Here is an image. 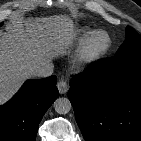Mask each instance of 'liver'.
I'll return each mask as SVG.
<instances>
[{"instance_id":"liver-1","label":"liver","mask_w":141,"mask_h":141,"mask_svg":"<svg viewBox=\"0 0 141 141\" xmlns=\"http://www.w3.org/2000/svg\"><path fill=\"white\" fill-rule=\"evenodd\" d=\"M75 35L67 15L20 18L7 27V32L0 31V105L34 76L36 66L65 54Z\"/></svg>"}]
</instances>
